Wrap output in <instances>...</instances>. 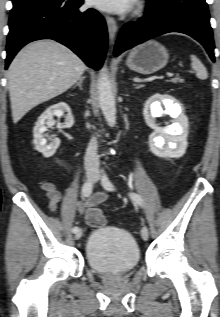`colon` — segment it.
<instances>
[{"label":"colon","mask_w":220,"mask_h":317,"mask_svg":"<svg viewBox=\"0 0 220 317\" xmlns=\"http://www.w3.org/2000/svg\"><path fill=\"white\" fill-rule=\"evenodd\" d=\"M87 224L92 228H98L105 224V216L99 209H93L86 216Z\"/></svg>","instance_id":"obj_1"}]
</instances>
